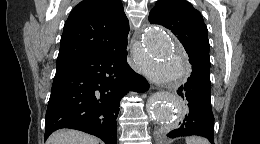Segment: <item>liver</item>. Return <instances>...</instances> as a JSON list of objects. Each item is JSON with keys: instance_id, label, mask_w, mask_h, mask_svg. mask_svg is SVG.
Here are the masks:
<instances>
[{"instance_id": "6515ba94", "label": "liver", "mask_w": 260, "mask_h": 144, "mask_svg": "<svg viewBox=\"0 0 260 144\" xmlns=\"http://www.w3.org/2000/svg\"><path fill=\"white\" fill-rule=\"evenodd\" d=\"M93 136L76 130H59L48 138L46 144H99Z\"/></svg>"}]
</instances>
